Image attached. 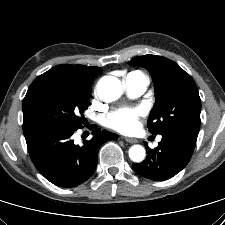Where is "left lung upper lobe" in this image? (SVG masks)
Returning <instances> with one entry per match:
<instances>
[{"label": "left lung upper lobe", "instance_id": "5c2ea615", "mask_svg": "<svg viewBox=\"0 0 225 225\" xmlns=\"http://www.w3.org/2000/svg\"><path fill=\"white\" fill-rule=\"evenodd\" d=\"M129 64L145 67L154 81L156 103L148 119L149 131L154 135L171 131L197 138L201 101L191 76L177 63L157 55L140 56Z\"/></svg>", "mask_w": 225, "mask_h": 225}]
</instances>
